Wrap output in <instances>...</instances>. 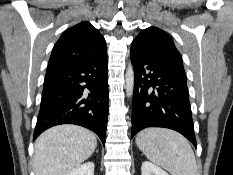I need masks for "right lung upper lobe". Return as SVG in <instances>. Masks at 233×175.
<instances>
[{
  "label": "right lung upper lobe",
  "instance_id": "cb5924a9",
  "mask_svg": "<svg viewBox=\"0 0 233 175\" xmlns=\"http://www.w3.org/2000/svg\"><path fill=\"white\" fill-rule=\"evenodd\" d=\"M106 52V42L89 22L67 29L56 42L47 67V74L96 58Z\"/></svg>",
  "mask_w": 233,
  "mask_h": 175
}]
</instances>
